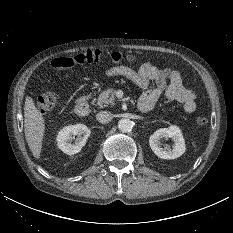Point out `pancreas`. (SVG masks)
<instances>
[{"label": "pancreas", "mask_w": 233, "mask_h": 233, "mask_svg": "<svg viewBox=\"0 0 233 233\" xmlns=\"http://www.w3.org/2000/svg\"><path fill=\"white\" fill-rule=\"evenodd\" d=\"M115 94H116V90L113 89V88H108V89L102 91L99 94V97L97 99L98 105L100 107H105V106H108V105H114Z\"/></svg>", "instance_id": "1"}]
</instances>
